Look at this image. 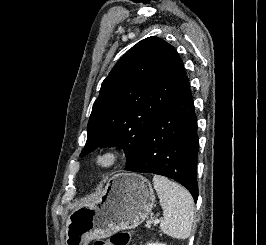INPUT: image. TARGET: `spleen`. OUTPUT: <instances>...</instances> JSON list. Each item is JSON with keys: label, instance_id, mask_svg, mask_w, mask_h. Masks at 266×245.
<instances>
[{"label": "spleen", "instance_id": "obj_1", "mask_svg": "<svg viewBox=\"0 0 266 245\" xmlns=\"http://www.w3.org/2000/svg\"><path fill=\"white\" fill-rule=\"evenodd\" d=\"M153 185L164 211L161 231L173 239H188L194 223V203L190 193L161 175L153 177Z\"/></svg>", "mask_w": 266, "mask_h": 245}]
</instances>
